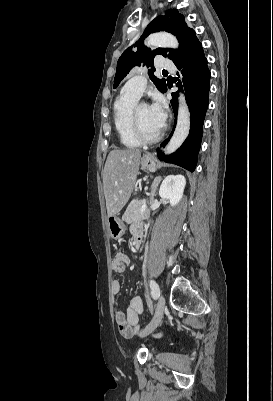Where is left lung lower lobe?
Returning <instances> with one entry per match:
<instances>
[{
    "mask_svg": "<svg viewBox=\"0 0 273 401\" xmlns=\"http://www.w3.org/2000/svg\"><path fill=\"white\" fill-rule=\"evenodd\" d=\"M173 62L183 77L182 81L184 84L183 86L180 85V88L183 89L184 87L187 105L191 114L190 133L181 148L175 153L164 156L162 150L158 149L157 155L162 161L179 165L193 172L197 164L202 140L203 122L209 103L210 71L199 41L181 53ZM166 91L167 88L164 92ZM177 97V92L172 94L171 105L175 113V118H177ZM168 140L161 143V147Z\"/></svg>",
    "mask_w": 273,
    "mask_h": 401,
    "instance_id": "1",
    "label": "left lung lower lobe"
}]
</instances>
